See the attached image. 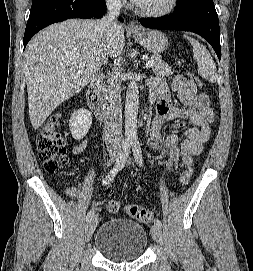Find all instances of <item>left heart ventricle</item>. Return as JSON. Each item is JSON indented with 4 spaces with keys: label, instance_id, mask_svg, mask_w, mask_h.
Here are the masks:
<instances>
[{
    "label": "left heart ventricle",
    "instance_id": "b2bd125f",
    "mask_svg": "<svg viewBox=\"0 0 253 271\" xmlns=\"http://www.w3.org/2000/svg\"><path fill=\"white\" fill-rule=\"evenodd\" d=\"M169 0H139L138 6L144 9H160L167 5Z\"/></svg>",
    "mask_w": 253,
    "mask_h": 271
}]
</instances>
